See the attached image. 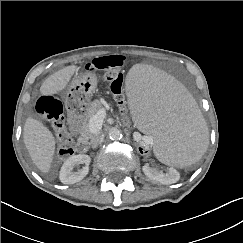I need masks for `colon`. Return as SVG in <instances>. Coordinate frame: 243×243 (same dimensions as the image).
Here are the masks:
<instances>
[{
    "label": "colon",
    "instance_id": "5ec220e1",
    "mask_svg": "<svg viewBox=\"0 0 243 243\" xmlns=\"http://www.w3.org/2000/svg\"><path fill=\"white\" fill-rule=\"evenodd\" d=\"M125 57L122 55L102 56L89 62L85 69L88 72H103V80L110 84V88L116 97V109L123 126L122 134L125 137L130 136V129L134 126L127 101L123 98V74L122 68L125 65ZM37 110L41 116L51 123L59 139L58 153L61 159L68 158L74 154L75 145L72 137L66 130L65 119L63 115L62 103L55 97L44 95L37 101ZM136 150L139 153L144 152L145 146L142 143L137 144ZM148 158L153 159L156 156L155 151L150 150L147 153Z\"/></svg>",
    "mask_w": 243,
    "mask_h": 243
}]
</instances>
